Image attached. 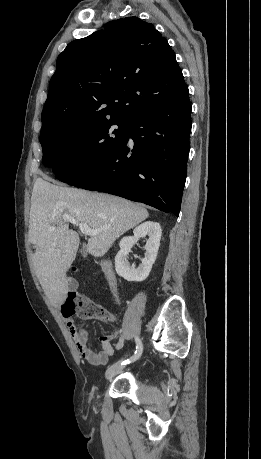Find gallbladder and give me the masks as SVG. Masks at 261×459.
Instances as JSON below:
<instances>
[{"instance_id": "bac80fb5", "label": "gallbladder", "mask_w": 261, "mask_h": 459, "mask_svg": "<svg viewBox=\"0 0 261 459\" xmlns=\"http://www.w3.org/2000/svg\"><path fill=\"white\" fill-rule=\"evenodd\" d=\"M83 255H85V250L82 251Z\"/></svg>"}]
</instances>
